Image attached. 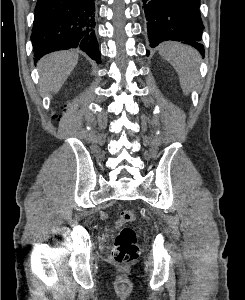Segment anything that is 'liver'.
<instances>
[{
	"label": "liver",
	"instance_id": "1",
	"mask_svg": "<svg viewBox=\"0 0 245 300\" xmlns=\"http://www.w3.org/2000/svg\"><path fill=\"white\" fill-rule=\"evenodd\" d=\"M78 63V54L60 51L38 62L40 87L43 92L56 94Z\"/></svg>",
	"mask_w": 245,
	"mask_h": 300
}]
</instances>
